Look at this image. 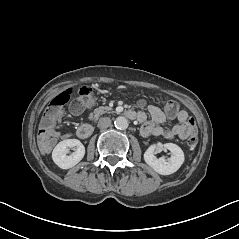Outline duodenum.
Listing matches in <instances>:
<instances>
[{"label": "duodenum", "instance_id": "duodenum-1", "mask_svg": "<svg viewBox=\"0 0 239 239\" xmlns=\"http://www.w3.org/2000/svg\"><path fill=\"white\" fill-rule=\"evenodd\" d=\"M126 115L130 119L135 118V113L132 111H127ZM92 133H93V126L88 123L81 124L77 129V135L82 139L89 138L92 135Z\"/></svg>", "mask_w": 239, "mask_h": 239}]
</instances>
